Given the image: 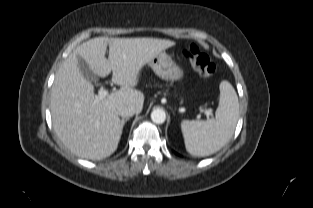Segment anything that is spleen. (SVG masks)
Here are the masks:
<instances>
[{"instance_id":"obj_1","label":"spleen","mask_w":313,"mask_h":208,"mask_svg":"<svg viewBox=\"0 0 313 208\" xmlns=\"http://www.w3.org/2000/svg\"><path fill=\"white\" fill-rule=\"evenodd\" d=\"M219 88V106L214 119L181 122L185 147L191 155L207 156L217 152L234 133L239 117L238 96L226 80L221 81Z\"/></svg>"}]
</instances>
